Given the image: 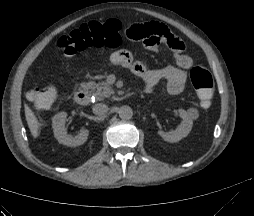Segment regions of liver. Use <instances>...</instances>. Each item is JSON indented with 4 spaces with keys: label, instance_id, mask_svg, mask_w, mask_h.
I'll return each mask as SVG.
<instances>
[{
    "label": "liver",
    "instance_id": "1",
    "mask_svg": "<svg viewBox=\"0 0 254 216\" xmlns=\"http://www.w3.org/2000/svg\"><path fill=\"white\" fill-rule=\"evenodd\" d=\"M25 117L28 124V127L30 129V132L34 138H37L39 136V122L35 116V114L32 112V110L26 105L25 106Z\"/></svg>",
    "mask_w": 254,
    "mask_h": 216
}]
</instances>
